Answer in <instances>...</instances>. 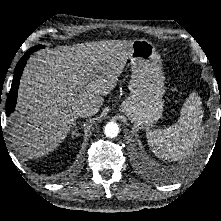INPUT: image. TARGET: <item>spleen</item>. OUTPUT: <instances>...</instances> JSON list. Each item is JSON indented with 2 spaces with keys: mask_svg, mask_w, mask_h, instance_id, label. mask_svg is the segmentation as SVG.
<instances>
[{
  "mask_svg": "<svg viewBox=\"0 0 221 221\" xmlns=\"http://www.w3.org/2000/svg\"><path fill=\"white\" fill-rule=\"evenodd\" d=\"M201 102L192 93L186 99L177 123L164 129H148L147 142L158 158L168 161L185 159L199 144L202 138Z\"/></svg>",
  "mask_w": 221,
  "mask_h": 221,
  "instance_id": "obj_1",
  "label": "spleen"
}]
</instances>
